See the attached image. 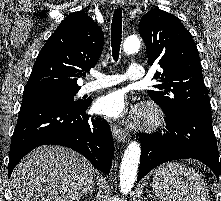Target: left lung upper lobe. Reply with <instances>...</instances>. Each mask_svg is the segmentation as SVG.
<instances>
[{
  "label": "left lung upper lobe",
  "mask_w": 221,
  "mask_h": 201,
  "mask_svg": "<svg viewBox=\"0 0 221 201\" xmlns=\"http://www.w3.org/2000/svg\"><path fill=\"white\" fill-rule=\"evenodd\" d=\"M149 65L159 64L160 84L148 95L169 118L192 110L211 111L197 47L190 32L174 15L151 9L139 23Z\"/></svg>",
  "instance_id": "obj_1"
}]
</instances>
